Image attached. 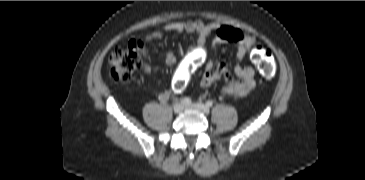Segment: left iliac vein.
I'll return each instance as SVG.
<instances>
[{
	"label": "left iliac vein",
	"mask_w": 365,
	"mask_h": 180,
	"mask_svg": "<svg viewBox=\"0 0 365 180\" xmlns=\"http://www.w3.org/2000/svg\"><path fill=\"white\" fill-rule=\"evenodd\" d=\"M187 108L195 109L197 111H200L203 114H208L210 112L209 107H207L203 103H194L190 106H187Z\"/></svg>",
	"instance_id": "1"
}]
</instances>
